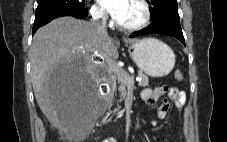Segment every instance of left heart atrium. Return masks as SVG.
I'll return each instance as SVG.
<instances>
[{
  "label": "left heart atrium",
  "mask_w": 227,
  "mask_h": 142,
  "mask_svg": "<svg viewBox=\"0 0 227 142\" xmlns=\"http://www.w3.org/2000/svg\"><path fill=\"white\" fill-rule=\"evenodd\" d=\"M98 2L113 19L119 21L126 11L129 0H98Z\"/></svg>",
  "instance_id": "39dd6f15"
}]
</instances>
